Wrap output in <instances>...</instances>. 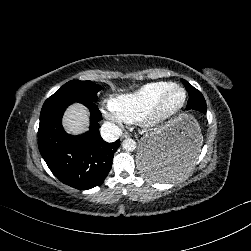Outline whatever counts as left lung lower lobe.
<instances>
[{
	"mask_svg": "<svg viewBox=\"0 0 251 251\" xmlns=\"http://www.w3.org/2000/svg\"><path fill=\"white\" fill-rule=\"evenodd\" d=\"M186 109L206 114V105L193 98H189ZM186 155V150L173 144L149 143L140 154L139 167L149 179L162 180L182 167L186 161Z\"/></svg>",
	"mask_w": 251,
	"mask_h": 251,
	"instance_id": "0a47b994",
	"label": "left lung lower lobe"
}]
</instances>
